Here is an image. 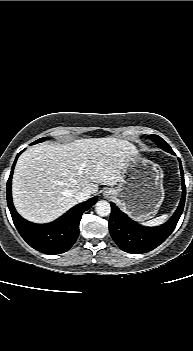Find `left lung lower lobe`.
Returning a JSON list of instances; mask_svg holds the SVG:
<instances>
[{
    "label": "left lung lower lobe",
    "mask_w": 193,
    "mask_h": 351,
    "mask_svg": "<svg viewBox=\"0 0 193 351\" xmlns=\"http://www.w3.org/2000/svg\"><path fill=\"white\" fill-rule=\"evenodd\" d=\"M171 153L174 154V152ZM180 170L183 190L181 201L173 216L161 226H141L131 220L126 214L121 212L114 203L111 202L109 231L113 240L121 250L133 254L149 252L163 243L173 232L183 212L186 197V187L181 162Z\"/></svg>",
    "instance_id": "obj_1"
}]
</instances>
